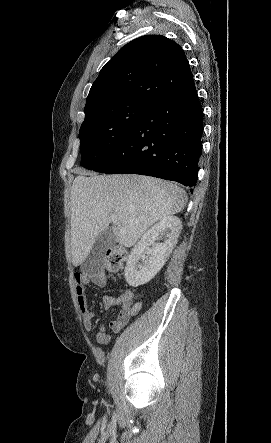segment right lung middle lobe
<instances>
[{"label":"right lung middle lobe","mask_w":271,"mask_h":443,"mask_svg":"<svg viewBox=\"0 0 271 443\" xmlns=\"http://www.w3.org/2000/svg\"><path fill=\"white\" fill-rule=\"evenodd\" d=\"M150 102L123 100L98 107L81 125V166L95 170L117 150Z\"/></svg>","instance_id":"1"}]
</instances>
